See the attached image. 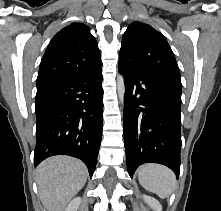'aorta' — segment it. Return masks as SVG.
Returning <instances> with one entry per match:
<instances>
[{"mask_svg": "<svg viewBox=\"0 0 221 211\" xmlns=\"http://www.w3.org/2000/svg\"><path fill=\"white\" fill-rule=\"evenodd\" d=\"M117 92L120 102L124 105L125 82L122 75H118L117 77Z\"/></svg>", "mask_w": 221, "mask_h": 211, "instance_id": "aorta-1", "label": "aorta"}]
</instances>
